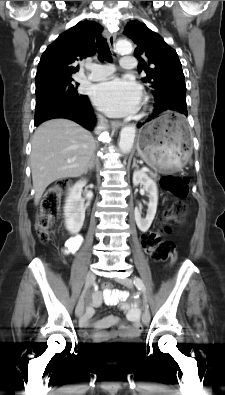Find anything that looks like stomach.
Segmentation results:
<instances>
[{
  "mask_svg": "<svg viewBox=\"0 0 225 395\" xmlns=\"http://www.w3.org/2000/svg\"><path fill=\"white\" fill-rule=\"evenodd\" d=\"M137 151L146 164L157 171L181 169L191 156L183 116L168 110L147 123L139 131Z\"/></svg>",
  "mask_w": 225,
  "mask_h": 395,
  "instance_id": "0dacf381",
  "label": "stomach"
}]
</instances>
